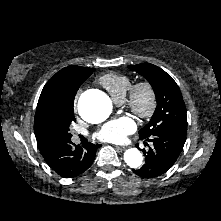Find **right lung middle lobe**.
I'll return each instance as SVG.
<instances>
[{
    "mask_svg": "<svg viewBox=\"0 0 221 221\" xmlns=\"http://www.w3.org/2000/svg\"><path fill=\"white\" fill-rule=\"evenodd\" d=\"M35 118L42 131L55 142L71 140L69 127L75 121L72 101L44 107L36 112Z\"/></svg>",
    "mask_w": 221,
    "mask_h": 221,
    "instance_id": "obj_1",
    "label": "right lung middle lobe"
}]
</instances>
